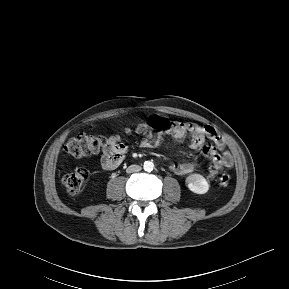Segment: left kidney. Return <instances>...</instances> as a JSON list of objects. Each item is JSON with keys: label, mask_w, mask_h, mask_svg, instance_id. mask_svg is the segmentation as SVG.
<instances>
[{"label": "left kidney", "mask_w": 289, "mask_h": 289, "mask_svg": "<svg viewBox=\"0 0 289 289\" xmlns=\"http://www.w3.org/2000/svg\"><path fill=\"white\" fill-rule=\"evenodd\" d=\"M186 184L189 190L196 194H204L209 190V184L201 174L189 175Z\"/></svg>", "instance_id": "5707ae66"}]
</instances>
